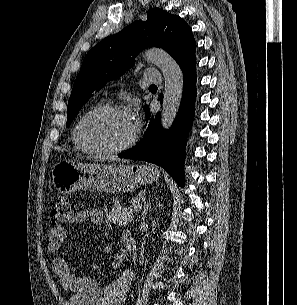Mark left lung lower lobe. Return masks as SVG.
<instances>
[{"label": "left lung lower lobe", "mask_w": 297, "mask_h": 305, "mask_svg": "<svg viewBox=\"0 0 297 305\" xmlns=\"http://www.w3.org/2000/svg\"><path fill=\"white\" fill-rule=\"evenodd\" d=\"M184 88L180 109L169 130L160 123V113L149 122L142 139L130 150L120 153L121 158L144 160L164 168L173 179L184 187V161L187 134L192 126L196 98L195 63L182 64ZM162 102V95H161ZM146 120L149 119V108Z\"/></svg>", "instance_id": "obj_1"}]
</instances>
